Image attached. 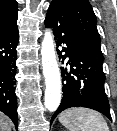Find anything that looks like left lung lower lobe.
<instances>
[{
    "label": "left lung lower lobe",
    "instance_id": "left-lung-lower-lobe-1",
    "mask_svg": "<svg viewBox=\"0 0 117 131\" xmlns=\"http://www.w3.org/2000/svg\"><path fill=\"white\" fill-rule=\"evenodd\" d=\"M45 25L53 30L61 63L69 58L66 66L61 68L63 99L51 123L61 111L71 107L94 109L111 120L104 89L103 61L79 42L72 24L61 10L49 8Z\"/></svg>",
    "mask_w": 117,
    "mask_h": 131
}]
</instances>
